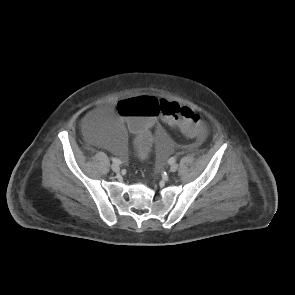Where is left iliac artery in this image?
<instances>
[{
    "label": "left iliac artery",
    "instance_id": "obj_1",
    "mask_svg": "<svg viewBox=\"0 0 295 295\" xmlns=\"http://www.w3.org/2000/svg\"><path fill=\"white\" fill-rule=\"evenodd\" d=\"M176 158L175 157H171L169 160H168V163L169 164H174L176 162Z\"/></svg>",
    "mask_w": 295,
    "mask_h": 295
}]
</instances>
